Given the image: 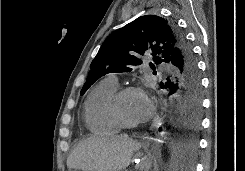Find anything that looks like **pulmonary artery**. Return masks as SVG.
<instances>
[{
  "label": "pulmonary artery",
  "mask_w": 245,
  "mask_h": 171,
  "mask_svg": "<svg viewBox=\"0 0 245 171\" xmlns=\"http://www.w3.org/2000/svg\"><path fill=\"white\" fill-rule=\"evenodd\" d=\"M109 81L113 82L114 84H117L118 85V82H117V78L115 75H109V77L107 78Z\"/></svg>",
  "instance_id": "e3ab8cb5"
}]
</instances>
